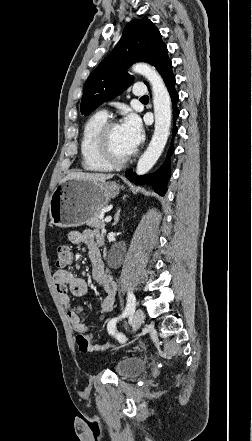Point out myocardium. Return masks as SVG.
<instances>
[{
	"instance_id": "myocardium-1",
	"label": "myocardium",
	"mask_w": 252,
	"mask_h": 441,
	"mask_svg": "<svg viewBox=\"0 0 252 441\" xmlns=\"http://www.w3.org/2000/svg\"><path fill=\"white\" fill-rule=\"evenodd\" d=\"M119 125L120 123L116 120H107L100 127L95 137L96 154L110 168H121L124 165H126L132 157V154L130 153L128 156L124 158L117 159L113 157L110 152L109 144H108L109 135L111 130Z\"/></svg>"
}]
</instances>
